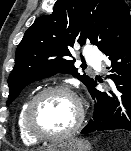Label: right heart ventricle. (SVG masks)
Segmentation results:
<instances>
[{"label": "right heart ventricle", "mask_w": 131, "mask_h": 151, "mask_svg": "<svg viewBox=\"0 0 131 151\" xmlns=\"http://www.w3.org/2000/svg\"><path fill=\"white\" fill-rule=\"evenodd\" d=\"M29 98L25 99L20 106L17 116V129L22 142L26 145H33L37 143V140L33 139L25 130L24 127V112L29 102Z\"/></svg>", "instance_id": "obj_1"}]
</instances>
